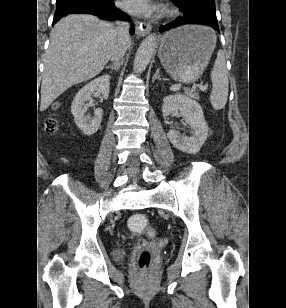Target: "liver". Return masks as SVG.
<instances>
[{
	"label": "liver",
	"mask_w": 286,
	"mask_h": 308,
	"mask_svg": "<svg viewBox=\"0 0 286 308\" xmlns=\"http://www.w3.org/2000/svg\"><path fill=\"white\" fill-rule=\"evenodd\" d=\"M116 39L115 27L92 15H69L56 23L45 54L40 110L71 86L98 75L111 59Z\"/></svg>",
	"instance_id": "1"
}]
</instances>
